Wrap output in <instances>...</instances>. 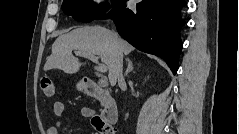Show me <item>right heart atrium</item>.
Listing matches in <instances>:
<instances>
[{
  "label": "right heart atrium",
  "mask_w": 239,
  "mask_h": 134,
  "mask_svg": "<svg viewBox=\"0 0 239 134\" xmlns=\"http://www.w3.org/2000/svg\"><path fill=\"white\" fill-rule=\"evenodd\" d=\"M101 6H102V3L100 1H98V2L95 3L94 7L99 9V8H101Z\"/></svg>",
  "instance_id": "obj_1"
}]
</instances>
